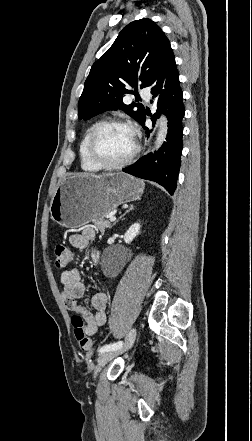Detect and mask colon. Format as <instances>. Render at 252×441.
I'll use <instances>...</instances> for the list:
<instances>
[{
  "instance_id": "5ec220e1",
  "label": "colon",
  "mask_w": 252,
  "mask_h": 441,
  "mask_svg": "<svg viewBox=\"0 0 252 441\" xmlns=\"http://www.w3.org/2000/svg\"><path fill=\"white\" fill-rule=\"evenodd\" d=\"M55 255V264L58 268H64L72 260V253L66 246L62 244L56 246ZM71 320L74 328V334L80 349L83 351L90 350L92 347V341L85 332L84 322L82 318L79 315L75 314L72 316Z\"/></svg>"
}]
</instances>
